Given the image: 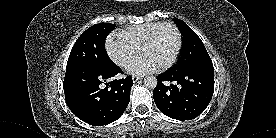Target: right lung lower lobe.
<instances>
[{
    "instance_id": "1",
    "label": "right lung lower lobe",
    "mask_w": 276,
    "mask_h": 138,
    "mask_svg": "<svg viewBox=\"0 0 276 138\" xmlns=\"http://www.w3.org/2000/svg\"><path fill=\"white\" fill-rule=\"evenodd\" d=\"M118 73L122 70L116 64L109 68L80 67L66 71L63 87L72 113L93 126L116 121L128 106L133 85L131 76L111 81Z\"/></svg>"
}]
</instances>
